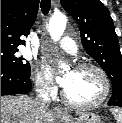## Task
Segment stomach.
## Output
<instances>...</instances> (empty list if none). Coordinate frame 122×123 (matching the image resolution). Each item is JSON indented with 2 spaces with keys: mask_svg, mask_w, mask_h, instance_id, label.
<instances>
[{
  "mask_svg": "<svg viewBox=\"0 0 122 123\" xmlns=\"http://www.w3.org/2000/svg\"><path fill=\"white\" fill-rule=\"evenodd\" d=\"M59 120L61 123H102L99 115L88 110L79 111L76 117L62 116Z\"/></svg>",
  "mask_w": 122,
  "mask_h": 123,
  "instance_id": "0dacf381",
  "label": "stomach"
}]
</instances>
